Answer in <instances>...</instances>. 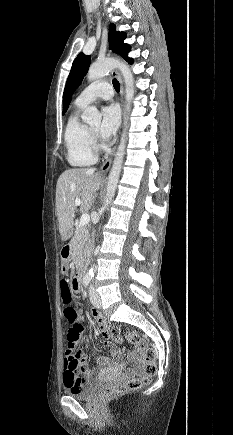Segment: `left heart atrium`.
I'll return each mask as SVG.
<instances>
[{"label": "left heart atrium", "mask_w": 233, "mask_h": 435, "mask_svg": "<svg viewBox=\"0 0 233 435\" xmlns=\"http://www.w3.org/2000/svg\"><path fill=\"white\" fill-rule=\"evenodd\" d=\"M119 123L120 113L116 105H108L102 109L100 133L105 141H109L116 134Z\"/></svg>", "instance_id": "1"}]
</instances>
